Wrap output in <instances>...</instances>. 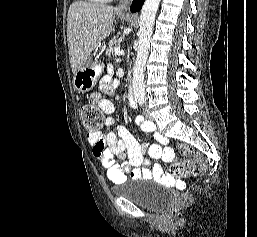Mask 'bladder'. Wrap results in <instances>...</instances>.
I'll list each match as a JSON object with an SVG mask.
<instances>
[{"instance_id":"bladder-1","label":"bladder","mask_w":257,"mask_h":237,"mask_svg":"<svg viewBox=\"0 0 257 237\" xmlns=\"http://www.w3.org/2000/svg\"><path fill=\"white\" fill-rule=\"evenodd\" d=\"M143 183H147V181H124L114 186L112 190L117 196L124 197L133 204L147 210H156L168 203L170 195L165 190L146 188L142 186Z\"/></svg>"}]
</instances>
